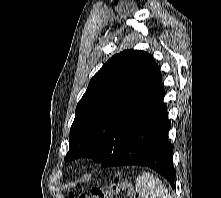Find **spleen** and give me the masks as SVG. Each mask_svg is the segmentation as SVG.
Returning <instances> with one entry per match:
<instances>
[{
    "mask_svg": "<svg viewBox=\"0 0 221 198\" xmlns=\"http://www.w3.org/2000/svg\"><path fill=\"white\" fill-rule=\"evenodd\" d=\"M135 188L139 198H171L165 185L149 172L137 176Z\"/></svg>",
    "mask_w": 221,
    "mask_h": 198,
    "instance_id": "spleen-1",
    "label": "spleen"
}]
</instances>
